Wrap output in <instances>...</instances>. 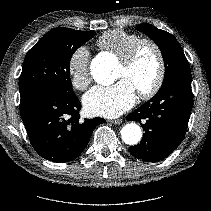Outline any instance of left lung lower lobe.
<instances>
[{
	"label": "left lung lower lobe",
	"instance_id": "0a47b994",
	"mask_svg": "<svg viewBox=\"0 0 211 211\" xmlns=\"http://www.w3.org/2000/svg\"><path fill=\"white\" fill-rule=\"evenodd\" d=\"M193 106L191 73H183L163 83L159 92L127 116L144 128L142 141L129 147L144 161L168 157L182 142Z\"/></svg>",
	"mask_w": 211,
	"mask_h": 211
}]
</instances>
